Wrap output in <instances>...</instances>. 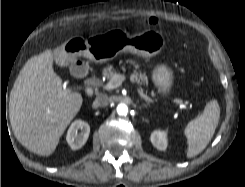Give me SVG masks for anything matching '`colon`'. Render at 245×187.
<instances>
[{"instance_id":"1","label":"colon","mask_w":245,"mask_h":187,"mask_svg":"<svg viewBox=\"0 0 245 187\" xmlns=\"http://www.w3.org/2000/svg\"><path fill=\"white\" fill-rule=\"evenodd\" d=\"M158 23V21L154 18H150L147 20V24L149 25H156Z\"/></svg>"}]
</instances>
